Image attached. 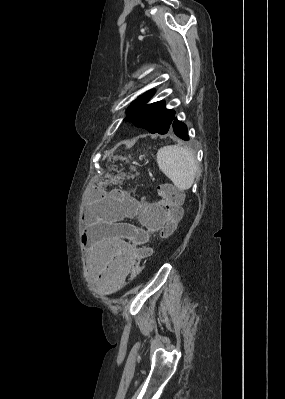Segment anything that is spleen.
Instances as JSON below:
<instances>
[{"instance_id":"spleen-1","label":"spleen","mask_w":285,"mask_h":399,"mask_svg":"<svg viewBox=\"0 0 285 399\" xmlns=\"http://www.w3.org/2000/svg\"><path fill=\"white\" fill-rule=\"evenodd\" d=\"M157 163L178 189L188 190L192 187L197 163L190 149L178 145L162 147L157 153Z\"/></svg>"}]
</instances>
